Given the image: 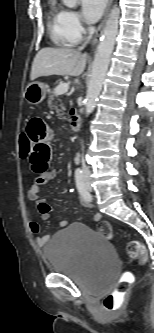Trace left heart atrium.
Instances as JSON below:
<instances>
[{"instance_id":"1","label":"left heart atrium","mask_w":154,"mask_h":333,"mask_svg":"<svg viewBox=\"0 0 154 333\" xmlns=\"http://www.w3.org/2000/svg\"><path fill=\"white\" fill-rule=\"evenodd\" d=\"M107 0H81L82 13L86 21L94 23L101 17Z\"/></svg>"}]
</instances>
